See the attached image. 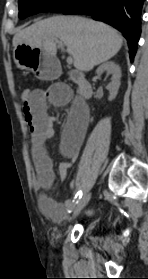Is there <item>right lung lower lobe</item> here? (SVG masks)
I'll use <instances>...</instances> for the list:
<instances>
[{
  "mask_svg": "<svg viewBox=\"0 0 148 279\" xmlns=\"http://www.w3.org/2000/svg\"><path fill=\"white\" fill-rule=\"evenodd\" d=\"M144 0H83L62 11L64 14H87L120 30L129 43L130 60L134 59L141 33Z\"/></svg>",
  "mask_w": 148,
  "mask_h": 279,
  "instance_id": "1",
  "label": "right lung lower lobe"
}]
</instances>
